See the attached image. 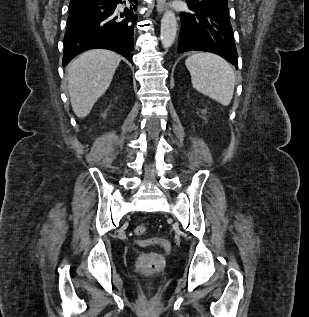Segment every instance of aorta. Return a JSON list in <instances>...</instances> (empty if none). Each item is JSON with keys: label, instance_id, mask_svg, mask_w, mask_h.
<instances>
[{"label": "aorta", "instance_id": "aorta-1", "mask_svg": "<svg viewBox=\"0 0 309 317\" xmlns=\"http://www.w3.org/2000/svg\"><path fill=\"white\" fill-rule=\"evenodd\" d=\"M177 33V20L175 13L171 10H167L161 20V43L162 46L167 49L170 48L176 37Z\"/></svg>", "mask_w": 309, "mask_h": 317}]
</instances>
